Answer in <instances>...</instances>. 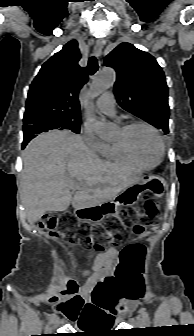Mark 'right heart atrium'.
<instances>
[{
	"label": "right heart atrium",
	"mask_w": 194,
	"mask_h": 336,
	"mask_svg": "<svg viewBox=\"0 0 194 336\" xmlns=\"http://www.w3.org/2000/svg\"><path fill=\"white\" fill-rule=\"evenodd\" d=\"M82 136L87 147L94 152H99L105 143L88 127L83 128Z\"/></svg>",
	"instance_id": "obj_1"
}]
</instances>
